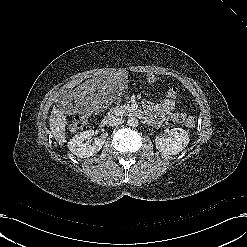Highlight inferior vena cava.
Returning a JSON list of instances; mask_svg holds the SVG:
<instances>
[{"instance_id": "obj_1", "label": "inferior vena cava", "mask_w": 247, "mask_h": 247, "mask_svg": "<svg viewBox=\"0 0 247 247\" xmlns=\"http://www.w3.org/2000/svg\"><path fill=\"white\" fill-rule=\"evenodd\" d=\"M124 122V120L118 116H114V115H110L109 116V121H108V125L109 126H118L120 124H122Z\"/></svg>"}]
</instances>
